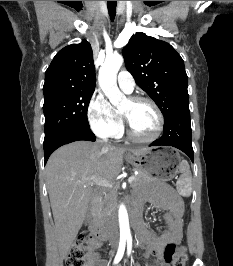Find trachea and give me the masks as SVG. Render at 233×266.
Masks as SVG:
<instances>
[{"label": "trachea", "mask_w": 233, "mask_h": 266, "mask_svg": "<svg viewBox=\"0 0 233 266\" xmlns=\"http://www.w3.org/2000/svg\"><path fill=\"white\" fill-rule=\"evenodd\" d=\"M117 1H107V7L110 15V19L114 20L116 14Z\"/></svg>", "instance_id": "trachea-1"}]
</instances>
